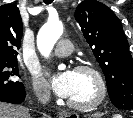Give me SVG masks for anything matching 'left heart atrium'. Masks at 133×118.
<instances>
[{
	"label": "left heart atrium",
	"instance_id": "obj_1",
	"mask_svg": "<svg viewBox=\"0 0 133 118\" xmlns=\"http://www.w3.org/2000/svg\"><path fill=\"white\" fill-rule=\"evenodd\" d=\"M76 85L75 71L67 70L53 76L51 87L54 93L61 98H71Z\"/></svg>",
	"mask_w": 133,
	"mask_h": 118
}]
</instances>
